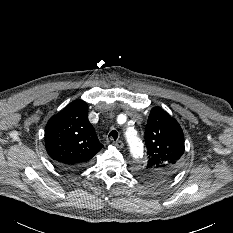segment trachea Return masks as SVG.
Masks as SVG:
<instances>
[{"mask_svg":"<svg viewBox=\"0 0 233 233\" xmlns=\"http://www.w3.org/2000/svg\"><path fill=\"white\" fill-rule=\"evenodd\" d=\"M109 137L113 138L114 140H116L118 138V132L116 130H112L109 133Z\"/></svg>","mask_w":233,"mask_h":233,"instance_id":"3493384b","label":"trachea"}]
</instances>
